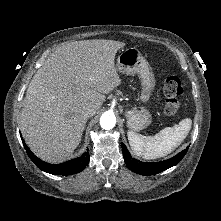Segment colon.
<instances>
[{
	"mask_svg": "<svg viewBox=\"0 0 221 221\" xmlns=\"http://www.w3.org/2000/svg\"><path fill=\"white\" fill-rule=\"evenodd\" d=\"M163 91L166 96L163 110L164 114L172 116L179 110L180 103L178 98L183 94V87L180 79L176 76L166 78L163 84Z\"/></svg>",
	"mask_w": 221,
	"mask_h": 221,
	"instance_id": "obj_1",
	"label": "colon"
}]
</instances>
